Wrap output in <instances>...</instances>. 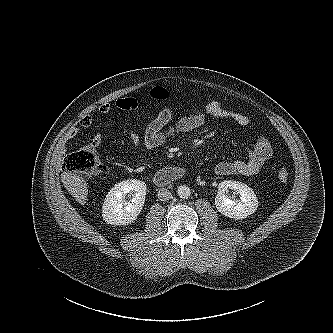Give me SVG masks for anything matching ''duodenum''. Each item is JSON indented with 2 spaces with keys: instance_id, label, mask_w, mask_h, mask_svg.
Instances as JSON below:
<instances>
[{
  "instance_id": "duodenum-1",
  "label": "duodenum",
  "mask_w": 333,
  "mask_h": 333,
  "mask_svg": "<svg viewBox=\"0 0 333 333\" xmlns=\"http://www.w3.org/2000/svg\"><path fill=\"white\" fill-rule=\"evenodd\" d=\"M186 175V169L179 166L166 167L152 177V182L157 186H166Z\"/></svg>"
}]
</instances>
